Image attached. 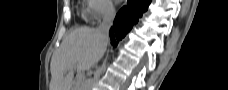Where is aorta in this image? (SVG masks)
Returning a JSON list of instances; mask_svg holds the SVG:
<instances>
[{"mask_svg": "<svg viewBox=\"0 0 228 90\" xmlns=\"http://www.w3.org/2000/svg\"><path fill=\"white\" fill-rule=\"evenodd\" d=\"M93 83H94V79L93 78H88L86 79L83 84H82V90H92L93 87Z\"/></svg>", "mask_w": 228, "mask_h": 90, "instance_id": "aorta-1", "label": "aorta"}]
</instances>
